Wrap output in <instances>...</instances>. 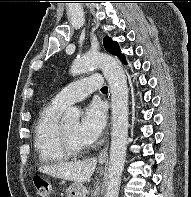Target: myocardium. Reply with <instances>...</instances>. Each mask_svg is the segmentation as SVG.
Here are the masks:
<instances>
[{
	"mask_svg": "<svg viewBox=\"0 0 191 197\" xmlns=\"http://www.w3.org/2000/svg\"><path fill=\"white\" fill-rule=\"evenodd\" d=\"M60 138H61V142H62V145H63L65 151L70 156H79L86 149V147L84 145H77V144H75L71 140V138L69 137V135L67 134V132L65 131L63 126L60 127Z\"/></svg>",
	"mask_w": 191,
	"mask_h": 197,
	"instance_id": "f54148a6",
	"label": "myocardium"
}]
</instances>
